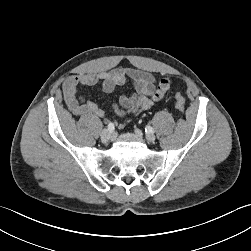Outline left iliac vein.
Here are the masks:
<instances>
[{
  "mask_svg": "<svg viewBox=\"0 0 251 251\" xmlns=\"http://www.w3.org/2000/svg\"><path fill=\"white\" fill-rule=\"evenodd\" d=\"M136 134L139 136V135H140V132L137 130V131H136ZM145 137H146V140H147L148 142H150V143H153V142L155 141V135L152 134V133H146Z\"/></svg>",
  "mask_w": 251,
  "mask_h": 251,
  "instance_id": "1",
  "label": "left iliac vein"
}]
</instances>
